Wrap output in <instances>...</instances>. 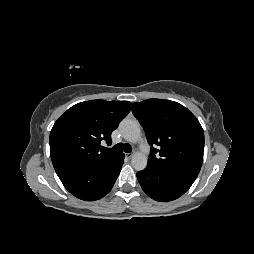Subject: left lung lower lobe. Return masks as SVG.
I'll return each instance as SVG.
<instances>
[{"instance_id": "0a47b994", "label": "left lung lower lobe", "mask_w": 254, "mask_h": 254, "mask_svg": "<svg viewBox=\"0 0 254 254\" xmlns=\"http://www.w3.org/2000/svg\"><path fill=\"white\" fill-rule=\"evenodd\" d=\"M197 174L167 169L148 161L147 167L137 173V179L152 199L168 202L183 195L193 184Z\"/></svg>"}]
</instances>
